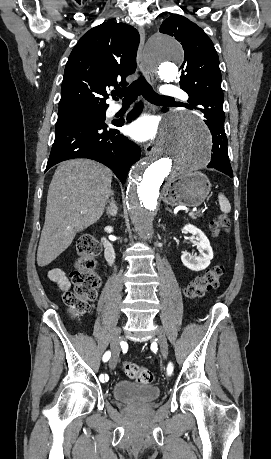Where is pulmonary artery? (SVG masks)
Masks as SVG:
<instances>
[{"mask_svg": "<svg viewBox=\"0 0 271 459\" xmlns=\"http://www.w3.org/2000/svg\"><path fill=\"white\" fill-rule=\"evenodd\" d=\"M160 96L162 98H179L181 104L189 105L191 100L187 97V93L181 89H174L171 83L167 84V87L161 90ZM123 108L121 103H112L106 109V117H111Z\"/></svg>", "mask_w": 271, "mask_h": 459, "instance_id": "e3ab8cb5", "label": "pulmonary artery"}]
</instances>
